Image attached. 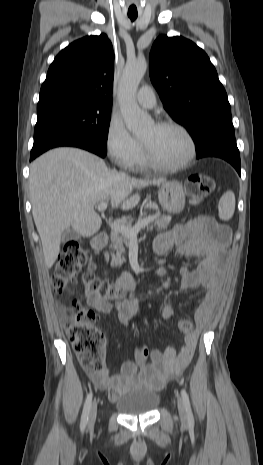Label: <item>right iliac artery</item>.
Instances as JSON below:
<instances>
[{
  "mask_svg": "<svg viewBox=\"0 0 263 465\" xmlns=\"http://www.w3.org/2000/svg\"><path fill=\"white\" fill-rule=\"evenodd\" d=\"M91 402H92V393H89L87 395V398H86V401H85V404H84V408H83V412H82V416H81V422H80L81 431H84V429H85V427L87 425L89 412H90V407H91Z\"/></svg>",
  "mask_w": 263,
  "mask_h": 465,
  "instance_id": "obj_1",
  "label": "right iliac artery"
}]
</instances>
